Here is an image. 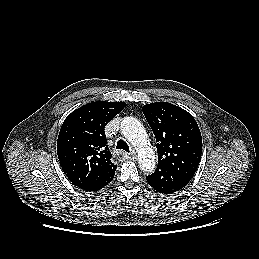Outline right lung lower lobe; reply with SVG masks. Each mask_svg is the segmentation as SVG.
I'll return each mask as SVG.
<instances>
[{"mask_svg":"<svg viewBox=\"0 0 259 259\" xmlns=\"http://www.w3.org/2000/svg\"><path fill=\"white\" fill-rule=\"evenodd\" d=\"M114 174H115V172L109 174L107 177H105L101 181H99L91 186L82 188V189L87 190V191H97V190L103 188L104 186H106L108 183H110L114 178Z\"/></svg>","mask_w":259,"mask_h":259,"instance_id":"right-lung-lower-lobe-1","label":"right lung lower lobe"}]
</instances>
